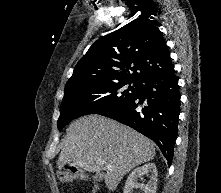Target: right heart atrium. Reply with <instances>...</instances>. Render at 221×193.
Returning <instances> with one entry per match:
<instances>
[{
	"label": "right heart atrium",
	"mask_w": 221,
	"mask_h": 193,
	"mask_svg": "<svg viewBox=\"0 0 221 193\" xmlns=\"http://www.w3.org/2000/svg\"><path fill=\"white\" fill-rule=\"evenodd\" d=\"M95 100L102 106H107L111 102V96L107 92H99L95 95Z\"/></svg>",
	"instance_id": "obj_1"
}]
</instances>
